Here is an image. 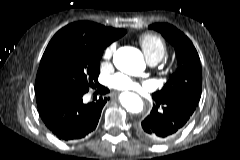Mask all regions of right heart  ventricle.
Listing matches in <instances>:
<instances>
[{"instance_id": "obj_1", "label": "right heart ventricle", "mask_w": 240, "mask_h": 160, "mask_svg": "<svg viewBox=\"0 0 240 160\" xmlns=\"http://www.w3.org/2000/svg\"><path fill=\"white\" fill-rule=\"evenodd\" d=\"M139 43L147 57L160 61L167 51L165 40L156 33L147 32L139 37Z\"/></svg>"}]
</instances>
